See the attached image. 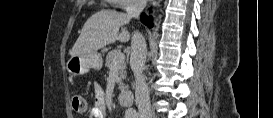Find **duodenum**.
I'll list each match as a JSON object with an SVG mask.
<instances>
[{"label": "duodenum", "mask_w": 273, "mask_h": 118, "mask_svg": "<svg viewBox=\"0 0 273 118\" xmlns=\"http://www.w3.org/2000/svg\"><path fill=\"white\" fill-rule=\"evenodd\" d=\"M118 100L123 106H132L134 104V94L130 90H122L118 95Z\"/></svg>", "instance_id": "duodenum-1"}]
</instances>
